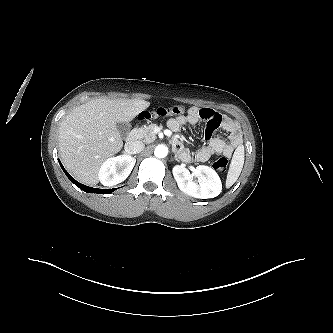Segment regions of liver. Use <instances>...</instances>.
Here are the masks:
<instances>
[{
	"mask_svg": "<svg viewBox=\"0 0 333 333\" xmlns=\"http://www.w3.org/2000/svg\"><path fill=\"white\" fill-rule=\"evenodd\" d=\"M149 106L150 102L139 99L98 98L66 115L59 126V150L74 178L97 184L103 161L123 146L116 123L131 121Z\"/></svg>",
	"mask_w": 333,
	"mask_h": 333,
	"instance_id": "obj_1",
	"label": "liver"
}]
</instances>
